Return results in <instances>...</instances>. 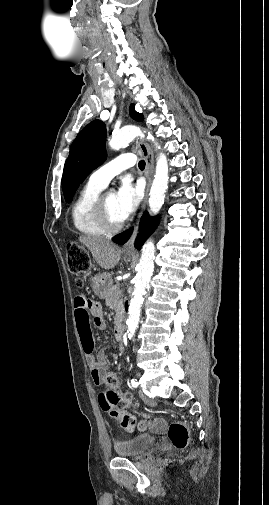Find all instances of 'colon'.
<instances>
[{
  "label": "colon",
  "instance_id": "1",
  "mask_svg": "<svg viewBox=\"0 0 269 505\" xmlns=\"http://www.w3.org/2000/svg\"><path fill=\"white\" fill-rule=\"evenodd\" d=\"M66 260L69 271L78 277V285H82V277L86 276L91 268V261L88 252L77 244L67 247ZM79 298H87L81 295ZM102 384L105 389L99 394L101 408L108 412L112 418L119 419L121 427L131 432L134 430L137 419L136 416L127 412L131 402L130 395H119L116 389L119 386V379L113 372H107ZM167 434L170 442L176 449H184L189 443V429L185 422L175 421L169 424Z\"/></svg>",
  "mask_w": 269,
  "mask_h": 505
}]
</instances>
